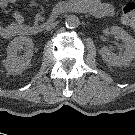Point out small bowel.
I'll return each mask as SVG.
<instances>
[{
    "label": "small bowel",
    "mask_w": 135,
    "mask_h": 135,
    "mask_svg": "<svg viewBox=\"0 0 135 135\" xmlns=\"http://www.w3.org/2000/svg\"><path fill=\"white\" fill-rule=\"evenodd\" d=\"M18 0H0V7L6 8ZM88 11L96 17H109L114 13L113 6L103 0H84ZM25 34V25L23 16L16 12L13 15V22L8 26H0V36L9 39L16 35Z\"/></svg>",
    "instance_id": "small-bowel-1"
}]
</instances>
